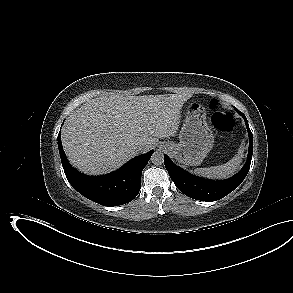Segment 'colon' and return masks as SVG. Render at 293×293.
Returning <instances> with one entry per match:
<instances>
[{"label": "colon", "mask_w": 293, "mask_h": 293, "mask_svg": "<svg viewBox=\"0 0 293 293\" xmlns=\"http://www.w3.org/2000/svg\"><path fill=\"white\" fill-rule=\"evenodd\" d=\"M210 105L213 110L211 122L215 129L228 132L235 128L236 119L231 113L221 110L217 101H212Z\"/></svg>", "instance_id": "5ec220e1"}]
</instances>
